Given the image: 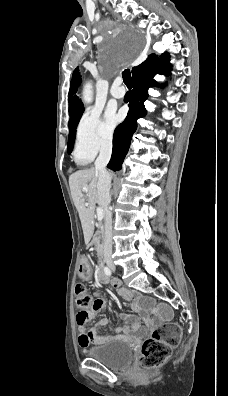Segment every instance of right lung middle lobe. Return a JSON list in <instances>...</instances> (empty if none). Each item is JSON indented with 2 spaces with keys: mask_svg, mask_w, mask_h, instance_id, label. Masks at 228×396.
Returning <instances> with one entry per match:
<instances>
[{
  "mask_svg": "<svg viewBox=\"0 0 228 396\" xmlns=\"http://www.w3.org/2000/svg\"><path fill=\"white\" fill-rule=\"evenodd\" d=\"M82 111H77L70 115L69 120V137H68V152L70 153L73 149L75 135H76V127L82 116Z\"/></svg>",
  "mask_w": 228,
  "mask_h": 396,
  "instance_id": "1",
  "label": "right lung middle lobe"
}]
</instances>
